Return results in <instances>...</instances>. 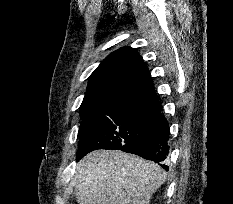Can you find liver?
Returning a JSON list of instances; mask_svg holds the SVG:
<instances>
[{
    "label": "liver",
    "instance_id": "obj_1",
    "mask_svg": "<svg viewBox=\"0 0 233 204\" xmlns=\"http://www.w3.org/2000/svg\"><path fill=\"white\" fill-rule=\"evenodd\" d=\"M166 175L159 165L118 150H96L76 165L79 204H149Z\"/></svg>",
    "mask_w": 233,
    "mask_h": 204
}]
</instances>
